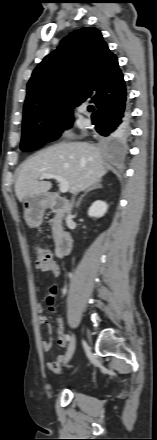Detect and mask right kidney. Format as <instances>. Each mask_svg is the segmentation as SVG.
<instances>
[{"mask_svg": "<svg viewBox=\"0 0 157 440\" xmlns=\"http://www.w3.org/2000/svg\"><path fill=\"white\" fill-rule=\"evenodd\" d=\"M107 209L108 205L105 202L97 200L88 209V215L89 217L99 218L107 212Z\"/></svg>", "mask_w": 157, "mask_h": 440, "instance_id": "ca27d5eb", "label": "right kidney"}]
</instances>
